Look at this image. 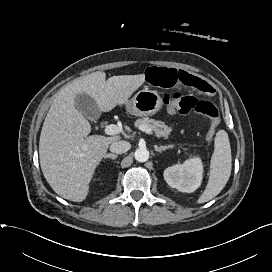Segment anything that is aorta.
Instances as JSON below:
<instances>
[{"label":"aorta","mask_w":272,"mask_h":272,"mask_svg":"<svg viewBox=\"0 0 272 272\" xmlns=\"http://www.w3.org/2000/svg\"><path fill=\"white\" fill-rule=\"evenodd\" d=\"M149 151L146 148H138L134 153V157L138 162H146L149 159Z\"/></svg>","instance_id":"obj_1"}]
</instances>
